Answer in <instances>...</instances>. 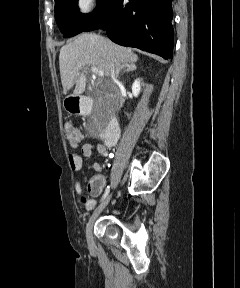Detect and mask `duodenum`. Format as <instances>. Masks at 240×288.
Masks as SVG:
<instances>
[{
    "label": "duodenum",
    "mask_w": 240,
    "mask_h": 288,
    "mask_svg": "<svg viewBox=\"0 0 240 288\" xmlns=\"http://www.w3.org/2000/svg\"><path fill=\"white\" fill-rule=\"evenodd\" d=\"M75 103L77 105V112L82 114H87L92 110L93 101L88 98H75ZM120 135V128L116 118L112 117L109 121L108 127L103 134L104 143L107 146H113Z\"/></svg>",
    "instance_id": "1"
}]
</instances>
